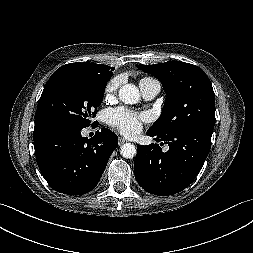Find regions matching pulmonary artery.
Instances as JSON below:
<instances>
[{"instance_id":"pulmonary-artery-1","label":"pulmonary artery","mask_w":253,"mask_h":253,"mask_svg":"<svg viewBox=\"0 0 253 253\" xmlns=\"http://www.w3.org/2000/svg\"><path fill=\"white\" fill-rule=\"evenodd\" d=\"M140 89H141L143 97L146 100H151L160 91V84H159V82H151V83L141 84Z\"/></svg>"}]
</instances>
